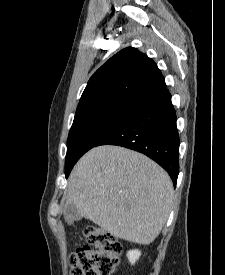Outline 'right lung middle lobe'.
<instances>
[{
	"label": "right lung middle lobe",
	"instance_id": "right-lung-middle-lobe-1",
	"mask_svg": "<svg viewBox=\"0 0 225 275\" xmlns=\"http://www.w3.org/2000/svg\"><path fill=\"white\" fill-rule=\"evenodd\" d=\"M128 113L104 112L93 114L72 124L67 141V154L65 159L66 178L78 159L120 123Z\"/></svg>",
	"mask_w": 225,
	"mask_h": 275
}]
</instances>
